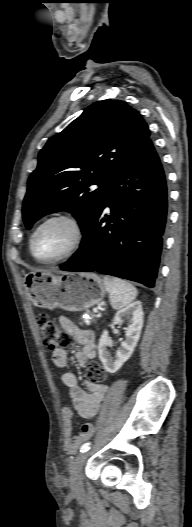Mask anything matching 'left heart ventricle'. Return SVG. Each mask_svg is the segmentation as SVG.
<instances>
[{
	"instance_id": "left-heart-ventricle-1",
	"label": "left heart ventricle",
	"mask_w": 192,
	"mask_h": 527,
	"mask_svg": "<svg viewBox=\"0 0 192 527\" xmlns=\"http://www.w3.org/2000/svg\"><path fill=\"white\" fill-rule=\"evenodd\" d=\"M74 237L72 226L65 220H54L43 226L35 239V252L42 259L64 253Z\"/></svg>"
}]
</instances>
